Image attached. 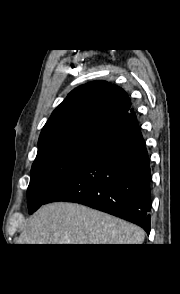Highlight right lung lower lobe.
<instances>
[{
    "mask_svg": "<svg viewBox=\"0 0 180 294\" xmlns=\"http://www.w3.org/2000/svg\"><path fill=\"white\" fill-rule=\"evenodd\" d=\"M54 201L76 202L107 212L141 226L149 234L150 166L134 113L99 141L45 204Z\"/></svg>",
    "mask_w": 180,
    "mask_h": 294,
    "instance_id": "obj_1",
    "label": "right lung lower lobe"
}]
</instances>
